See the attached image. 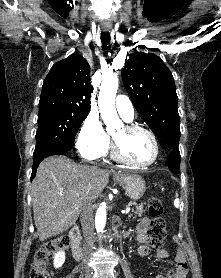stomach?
<instances>
[{"mask_svg":"<svg viewBox=\"0 0 221 278\" xmlns=\"http://www.w3.org/2000/svg\"><path fill=\"white\" fill-rule=\"evenodd\" d=\"M114 180L123 187L128 197L134 201L140 199L146 191L145 181L140 175L116 174Z\"/></svg>","mask_w":221,"mask_h":278,"instance_id":"1","label":"stomach"}]
</instances>
